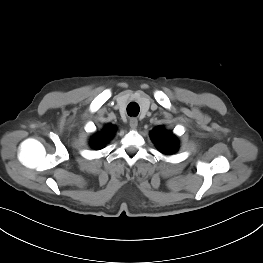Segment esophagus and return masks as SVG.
I'll use <instances>...</instances> for the list:
<instances>
[{
    "label": "esophagus",
    "instance_id": "esophagus-1",
    "mask_svg": "<svg viewBox=\"0 0 263 263\" xmlns=\"http://www.w3.org/2000/svg\"><path fill=\"white\" fill-rule=\"evenodd\" d=\"M129 125H130V127H131L132 129H136L137 126H138V120H137V118H134V117L130 118Z\"/></svg>",
    "mask_w": 263,
    "mask_h": 263
}]
</instances>
